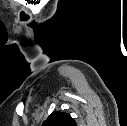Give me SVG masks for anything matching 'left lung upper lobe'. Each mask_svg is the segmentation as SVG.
<instances>
[{
	"mask_svg": "<svg viewBox=\"0 0 127 126\" xmlns=\"http://www.w3.org/2000/svg\"><path fill=\"white\" fill-rule=\"evenodd\" d=\"M42 126H76L75 120L66 112L54 111Z\"/></svg>",
	"mask_w": 127,
	"mask_h": 126,
	"instance_id": "left-lung-upper-lobe-1",
	"label": "left lung upper lobe"
}]
</instances>
